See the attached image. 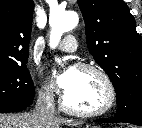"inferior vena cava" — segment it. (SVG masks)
Instances as JSON below:
<instances>
[{
    "label": "inferior vena cava",
    "mask_w": 142,
    "mask_h": 128,
    "mask_svg": "<svg viewBox=\"0 0 142 128\" xmlns=\"http://www.w3.org/2000/svg\"><path fill=\"white\" fill-rule=\"evenodd\" d=\"M34 114L44 121H52L55 119L54 95L50 91L39 94Z\"/></svg>",
    "instance_id": "inferior-vena-cava-1"
}]
</instances>
